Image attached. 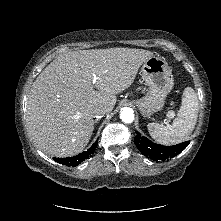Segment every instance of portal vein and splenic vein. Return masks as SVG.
<instances>
[{"label":"portal vein and splenic vein","mask_w":221,"mask_h":221,"mask_svg":"<svg viewBox=\"0 0 221 221\" xmlns=\"http://www.w3.org/2000/svg\"><path fill=\"white\" fill-rule=\"evenodd\" d=\"M96 79H97V78H96V77H94L93 83L96 81Z\"/></svg>","instance_id":"18ae733b"}]
</instances>
